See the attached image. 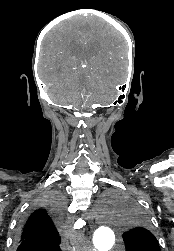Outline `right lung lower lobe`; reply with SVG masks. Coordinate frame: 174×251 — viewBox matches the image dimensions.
Masks as SVG:
<instances>
[{
    "label": "right lung lower lobe",
    "mask_w": 174,
    "mask_h": 251,
    "mask_svg": "<svg viewBox=\"0 0 174 251\" xmlns=\"http://www.w3.org/2000/svg\"><path fill=\"white\" fill-rule=\"evenodd\" d=\"M16 248H17V251H29V250H32L33 246L28 245L26 243H20L16 245Z\"/></svg>",
    "instance_id": "98d812e1"
}]
</instances>
